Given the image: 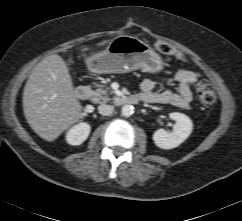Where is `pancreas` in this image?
Instances as JSON below:
<instances>
[{"label": "pancreas", "mask_w": 242, "mask_h": 221, "mask_svg": "<svg viewBox=\"0 0 242 221\" xmlns=\"http://www.w3.org/2000/svg\"><path fill=\"white\" fill-rule=\"evenodd\" d=\"M96 87H98L95 91H93L92 95V101L95 103H106L108 101H116L117 97L110 98L108 96V92L110 88L103 89L102 85L100 84H95ZM110 94H113V91L110 92Z\"/></svg>", "instance_id": "obj_1"}]
</instances>
